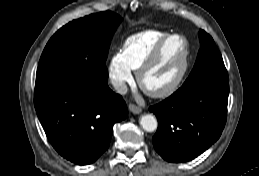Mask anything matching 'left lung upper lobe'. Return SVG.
Returning a JSON list of instances; mask_svg holds the SVG:
<instances>
[{
    "label": "left lung upper lobe",
    "instance_id": "1",
    "mask_svg": "<svg viewBox=\"0 0 259 176\" xmlns=\"http://www.w3.org/2000/svg\"><path fill=\"white\" fill-rule=\"evenodd\" d=\"M201 48L196 63L183 85L202 77H217L228 80L222 56L212 37L203 30L199 31Z\"/></svg>",
    "mask_w": 259,
    "mask_h": 176
}]
</instances>
